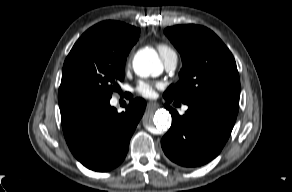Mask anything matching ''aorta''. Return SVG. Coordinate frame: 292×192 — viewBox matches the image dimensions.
Segmentation results:
<instances>
[{
	"instance_id": "762f6f07",
	"label": "aorta",
	"mask_w": 292,
	"mask_h": 192,
	"mask_svg": "<svg viewBox=\"0 0 292 192\" xmlns=\"http://www.w3.org/2000/svg\"><path fill=\"white\" fill-rule=\"evenodd\" d=\"M134 72L140 77L159 75L163 70L157 53L152 49H143L137 52L133 60ZM146 128L166 131L171 124V115L165 109H158L154 116L144 121Z\"/></svg>"
}]
</instances>
